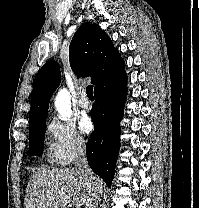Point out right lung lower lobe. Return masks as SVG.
<instances>
[{
	"label": "right lung lower lobe",
	"mask_w": 199,
	"mask_h": 208,
	"mask_svg": "<svg viewBox=\"0 0 199 208\" xmlns=\"http://www.w3.org/2000/svg\"><path fill=\"white\" fill-rule=\"evenodd\" d=\"M91 110L94 124L86 144L88 164L108 186H111L120 148V121L127 95V76L100 88Z\"/></svg>",
	"instance_id": "1"
}]
</instances>
